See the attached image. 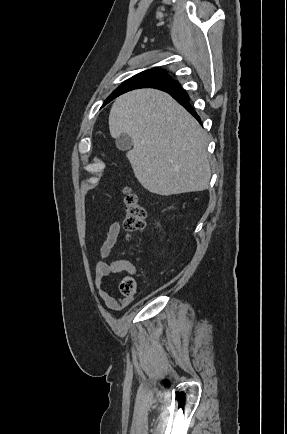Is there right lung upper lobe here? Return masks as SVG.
<instances>
[{
  "instance_id": "cb5924a9",
  "label": "right lung upper lobe",
  "mask_w": 287,
  "mask_h": 434,
  "mask_svg": "<svg viewBox=\"0 0 287 434\" xmlns=\"http://www.w3.org/2000/svg\"><path fill=\"white\" fill-rule=\"evenodd\" d=\"M172 82H174V81L171 79V80H169V81H167V82L159 83V84H153V85H149V86H147V87H152V88H163V87H165L166 85H168V84H170V83H172ZM138 88H144V87H133V88H129V89H127L125 92L130 91V90H133V89H138ZM125 92H124V93H125Z\"/></svg>"
}]
</instances>
